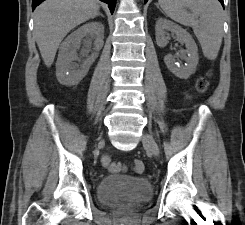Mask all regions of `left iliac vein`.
<instances>
[{"label": "left iliac vein", "instance_id": "1", "mask_svg": "<svg viewBox=\"0 0 245 225\" xmlns=\"http://www.w3.org/2000/svg\"><path fill=\"white\" fill-rule=\"evenodd\" d=\"M142 143L145 147L148 148V150L155 156L158 157L159 156V147L156 143V141L154 140V138L149 135V134H144L142 137Z\"/></svg>", "mask_w": 245, "mask_h": 225}]
</instances>
